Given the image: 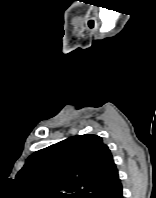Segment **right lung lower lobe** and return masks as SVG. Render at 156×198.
<instances>
[{
  "instance_id": "right-lung-lower-lobe-1",
  "label": "right lung lower lobe",
  "mask_w": 156,
  "mask_h": 198,
  "mask_svg": "<svg viewBox=\"0 0 156 198\" xmlns=\"http://www.w3.org/2000/svg\"><path fill=\"white\" fill-rule=\"evenodd\" d=\"M108 198H123L122 186L116 189Z\"/></svg>"
}]
</instances>
